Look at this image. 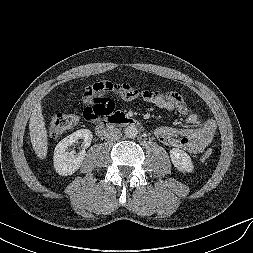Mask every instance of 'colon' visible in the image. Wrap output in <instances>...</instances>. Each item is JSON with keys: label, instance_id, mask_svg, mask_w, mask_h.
I'll list each match as a JSON object with an SVG mask.
<instances>
[{"label": "colon", "instance_id": "1", "mask_svg": "<svg viewBox=\"0 0 253 253\" xmlns=\"http://www.w3.org/2000/svg\"><path fill=\"white\" fill-rule=\"evenodd\" d=\"M110 109H108L103 104H96L92 106L89 110L84 112V117L86 119H97L104 115H110ZM77 122V118L75 115L64 113V112H56L52 115L49 122V133L51 136L57 137L64 132L72 129ZM213 155L212 150H207L201 160L203 162H207Z\"/></svg>", "mask_w": 253, "mask_h": 253}]
</instances>
